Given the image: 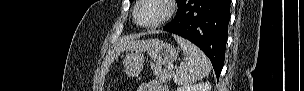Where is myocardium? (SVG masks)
Instances as JSON below:
<instances>
[{
  "instance_id": "obj_1",
  "label": "myocardium",
  "mask_w": 304,
  "mask_h": 91,
  "mask_svg": "<svg viewBox=\"0 0 304 91\" xmlns=\"http://www.w3.org/2000/svg\"><path fill=\"white\" fill-rule=\"evenodd\" d=\"M144 1L145 0H138L133 11V19L135 23L142 28H155L161 26L164 23L168 22L170 19H172L176 14L177 5L175 0H159L165 6V13L163 14V16L153 23L142 24L139 22L137 14L140 6L143 4Z\"/></svg>"
}]
</instances>
